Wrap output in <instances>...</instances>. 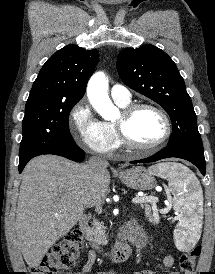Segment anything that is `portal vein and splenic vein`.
Listing matches in <instances>:
<instances>
[{
    "instance_id": "obj_1",
    "label": "portal vein and splenic vein",
    "mask_w": 215,
    "mask_h": 274,
    "mask_svg": "<svg viewBox=\"0 0 215 274\" xmlns=\"http://www.w3.org/2000/svg\"><path fill=\"white\" fill-rule=\"evenodd\" d=\"M156 197L153 196H142V197H135L132 199V202L134 204H139V203H145V202H154ZM178 219V217H177Z\"/></svg>"
}]
</instances>
